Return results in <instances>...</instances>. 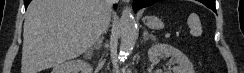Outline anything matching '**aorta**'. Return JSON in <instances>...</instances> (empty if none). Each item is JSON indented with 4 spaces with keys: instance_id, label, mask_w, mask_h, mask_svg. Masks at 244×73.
<instances>
[{
    "instance_id": "obj_1",
    "label": "aorta",
    "mask_w": 244,
    "mask_h": 73,
    "mask_svg": "<svg viewBox=\"0 0 244 73\" xmlns=\"http://www.w3.org/2000/svg\"><path fill=\"white\" fill-rule=\"evenodd\" d=\"M136 39V21L130 7H125L121 15L120 58L124 59L131 52Z\"/></svg>"
}]
</instances>
